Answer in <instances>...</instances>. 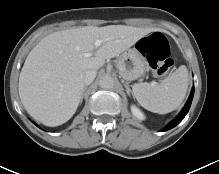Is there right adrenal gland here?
Wrapping results in <instances>:
<instances>
[{"instance_id": "2a0ac1e0", "label": "right adrenal gland", "mask_w": 219, "mask_h": 174, "mask_svg": "<svg viewBox=\"0 0 219 174\" xmlns=\"http://www.w3.org/2000/svg\"><path fill=\"white\" fill-rule=\"evenodd\" d=\"M86 89H87V87H85V88L83 89V92H82V95H81L80 102H82V100H83V95H84V92L86 91Z\"/></svg>"}]
</instances>
